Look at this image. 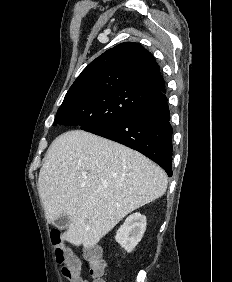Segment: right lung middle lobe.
Returning <instances> with one entry per match:
<instances>
[{"instance_id":"obj_1","label":"right lung middle lobe","mask_w":232,"mask_h":282,"mask_svg":"<svg viewBox=\"0 0 232 282\" xmlns=\"http://www.w3.org/2000/svg\"><path fill=\"white\" fill-rule=\"evenodd\" d=\"M153 104L148 95L130 89L86 93L64 100L56 113L53 126L62 124L85 130L113 124L136 115Z\"/></svg>"}]
</instances>
